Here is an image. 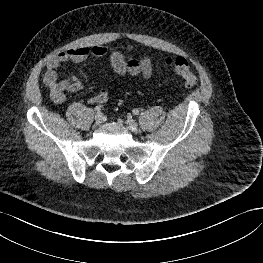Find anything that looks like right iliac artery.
I'll use <instances>...</instances> for the list:
<instances>
[{"mask_svg": "<svg viewBox=\"0 0 263 263\" xmlns=\"http://www.w3.org/2000/svg\"><path fill=\"white\" fill-rule=\"evenodd\" d=\"M101 108H102V106L98 105V106H96L94 109H95V111L100 112V111H101Z\"/></svg>", "mask_w": 263, "mask_h": 263, "instance_id": "1", "label": "right iliac artery"}]
</instances>
